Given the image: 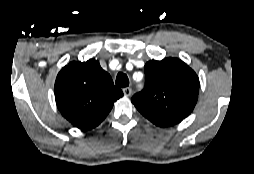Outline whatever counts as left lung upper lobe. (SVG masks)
I'll return each instance as SVG.
<instances>
[{
  "instance_id": "1",
  "label": "left lung upper lobe",
  "mask_w": 254,
  "mask_h": 174,
  "mask_svg": "<svg viewBox=\"0 0 254 174\" xmlns=\"http://www.w3.org/2000/svg\"><path fill=\"white\" fill-rule=\"evenodd\" d=\"M145 87L131 101L151 122L177 124L193 111L198 99L199 78L177 58L145 64Z\"/></svg>"
}]
</instances>
